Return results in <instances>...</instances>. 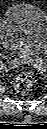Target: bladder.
I'll use <instances>...</instances> for the list:
<instances>
[{
    "mask_svg": "<svg viewBox=\"0 0 47 129\" xmlns=\"http://www.w3.org/2000/svg\"><path fill=\"white\" fill-rule=\"evenodd\" d=\"M47 16L35 3L11 5L1 21L0 36L4 47L20 55H31L45 42Z\"/></svg>",
    "mask_w": 47,
    "mask_h": 129,
    "instance_id": "bladder-1",
    "label": "bladder"
}]
</instances>
